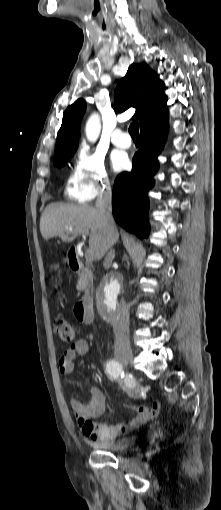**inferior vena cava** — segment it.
<instances>
[{"mask_svg": "<svg viewBox=\"0 0 221 510\" xmlns=\"http://www.w3.org/2000/svg\"><path fill=\"white\" fill-rule=\"evenodd\" d=\"M111 200L112 193L110 186H106L105 190L99 191L96 208L102 219L103 226L110 237L117 235V229L111 213ZM113 244L110 243L109 251L104 259L103 266L109 269L115 257V251L112 249ZM129 308L124 299L120 300V306L117 308L116 316L114 319V334H115V352L130 351L129 342Z\"/></svg>", "mask_w": 221, "mask_h": 510, "instance_id": "inferior-vena-cava-1", "label": "inferior vena cava"}]
</instances>
